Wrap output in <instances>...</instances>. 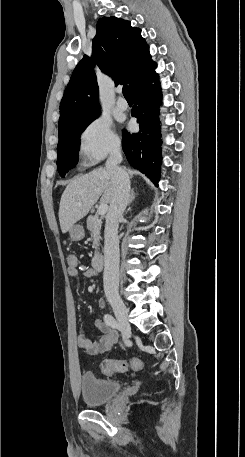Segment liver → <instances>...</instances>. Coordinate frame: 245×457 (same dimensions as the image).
<instances>
[{
	"mask_svg": "<svg viewBox=\"0 0 245 457\" xmlns=\"http://www.w3.org/2000/svg\"><path fill=\"white\" fill-rule=\"evenodd\" d=\"M127 170L132 178L134 170ZM113 194L114 186L106 168H95L71 180L60 200L58 214L62 233H67L74 222L86 216L99 196L101 202H111Z\"/></svg>",
	"mask_w": 245,
	"mask_h": 457,
	"instance_id": "6515ba94",
	"label": "liver"
}]
</instances>
